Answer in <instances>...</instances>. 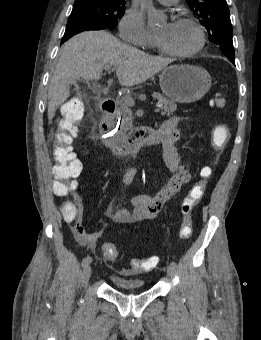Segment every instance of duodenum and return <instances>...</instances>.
<instances>
[{
    "label": "duodenum",
    "instance_id": "obj_1",
    "mask_svg": "<svg viewBox=\"0 0 261 340\" xmlns=\"http://www.w3.org/2000/svg\"><path fill=\"white\" fill-rule=\"evenodd\" d=\"M102 118L99 131L103 144L116 155H132L143 145H154L162 140L158 129L139 127L126 136L114 133V115L117 103L113 99L105 98L100 102Z\"/></svg>",
    "mask_w": 261,
    "mask_h": 340
}]
</instances>
